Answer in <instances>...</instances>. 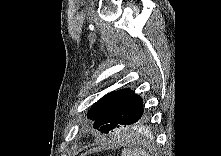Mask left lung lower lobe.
<instances>
[{"label": "left lung lower lobe", "mask_w": 221, "mask_h": 156, "mask_svg": "<svg viewBox=\"0 0 221 156\" xmlns=\"http://www.w3.org/2000/svg\"><path fill=\"white\" fill-rule=\"evenodd\" d=\"M145 122H146V119L144 118V119L142 120V122H140V123L137 124V125H145Z\"/></svg>", "instance_id": "0a47b994"}]
</instances>
